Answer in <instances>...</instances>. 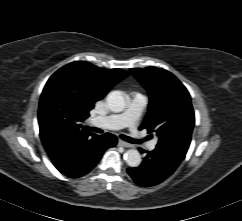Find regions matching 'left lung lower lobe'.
<instances>
[{
	"mask_svg": "<svg viewBox=\"0 0 242 221\" xmlns=\"http://www.w3.org/2000/svg\"><path fill=\"white\" fill-rule=\"evenodd\" d=\"M143 153V149H140ZM184 158L175 152L157 147L143 158L139 167L128 168L131 178L142 187L155 186L168 178Z\"/></svg>",
	"mask_w": 242,
	"mask_h": 221,
	"instance_id": "obj_1",
	"label": "left lung lower lobe"
}]
</instances>
